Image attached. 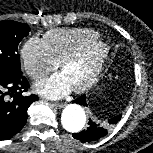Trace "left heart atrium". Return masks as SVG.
I'll return each instance as SVG.
<instances>
[{
	"instance_id": "1",
	"label": "left heart atrium",
	"mask_w": 153,
	"mask_h": 153,
	"mask_svg": "<svg viewBox=\"0 0 153 153\" xmlns=\"http://www.w3.org/2000/svg\"><path fill=\"white\" fill-rule=\"evenodd\" d=\"M35 88L38 93L47 98L59 99L67 95L73 86L62 72L37 83Z\"/></svg>"
}]
</instances>
